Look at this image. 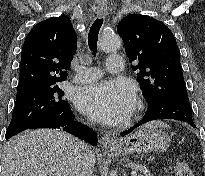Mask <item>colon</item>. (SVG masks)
Wrapping results in <instances>:
<instances>
[{"mask_svg":"<svg viewBox=\"0 0 205 176\" xmlns=\"http://www.w3.org/2000/svg\"><path fill=\"white\" fill-rule=\"evenodd\" d=\"M175 176H194L191 168L184 161H177L174 167Z\"/></svg>","mask_w":205,"mask_h":176,"instance_id":"colon-1","label":"colon"}]
</instances>
